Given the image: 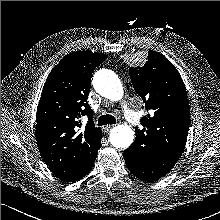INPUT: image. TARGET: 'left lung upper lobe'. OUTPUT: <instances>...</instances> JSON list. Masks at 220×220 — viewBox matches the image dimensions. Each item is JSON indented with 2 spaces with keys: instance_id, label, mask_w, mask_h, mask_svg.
<instances>
[{
  "instance_id": "left-lung-upper-lobe-1",
  "label": "left lung upper lobe",
  "mask_w": 220,
  "mask_h": 220,
  "mask_svg": "<svg viewBox=\"0 0 220 220\" xmlns=\"http://www.w3.org/2000/svg\"><path fill=\"white\" fill-rule=\"evenodd\" d=\"M129 76L146 108L153 110L151 116L141 118L143 129H135L139 145L178 161L190 125L187 92L179 72L162 54L148 51L146 64L130 68Z\"/></svg>"
}]
</instances>
